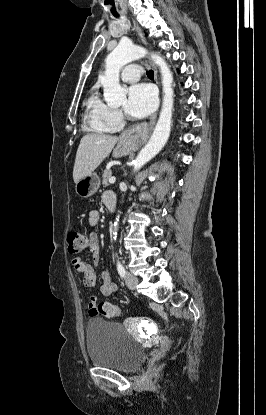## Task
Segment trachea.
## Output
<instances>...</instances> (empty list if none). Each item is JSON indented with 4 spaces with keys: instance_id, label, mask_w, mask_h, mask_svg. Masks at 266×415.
<instances>
[{
    "instance_id": "3493384b",
    "label": "trachea",
    "mask_w": 266,
    "mask_h": 415,
    "mask_svg": "<svg viewBox=\"0 0 266 415\" xmlns=\"http://www.w3.org/2000/svg\"><path fill=\"white\" fill-rule=\"evenodd\" d=\"M147 76H148L149 78H154V72H153V70H149V71L147 72Z\"/></svg>"
}]
</instances>
